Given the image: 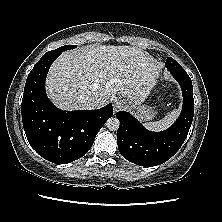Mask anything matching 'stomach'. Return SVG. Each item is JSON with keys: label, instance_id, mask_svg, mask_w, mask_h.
<instances>
[{"label": "stomach", "instance_id": "1", "mask_svg": "<svg viewBox=\"0 0 222 222\" xmlns=\"http://www.w3.org/2000/svg\"><path fill=\"white\" fill-rule=\"evenodd\" d=\"M132 108L134 109V115L141 121H149L154 118L156 111L151 106H146L142 103L132 102Z\"/></svg>", "mask_w": 222, "mask_h": 222}]
</instances>
